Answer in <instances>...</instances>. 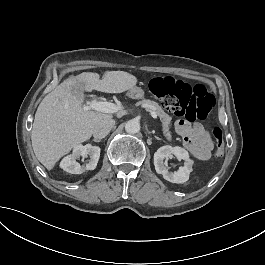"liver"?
I'll list each match as a JSON object with an SVG mask.
<instances>
[{"label": "liver", "instance_id": "1", "mask_svg": "<svg viewBox=\"0 0 265 265\" xmlns=\"http://www.w3.org/2000/svg\"><path fill=\"white\" fill-rule=\"evenodd\" d=\"M82 72L64 79L39 104L31 132V143L37 160L54 170L60 159L76 146L87 142L94 127L112 114L87 111L83 107L84 91L121 94L135 88L138 77L125 71Z\"/></svg>", "mask_w": 265, "mask_h": 265}]
</instances>
